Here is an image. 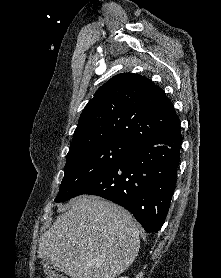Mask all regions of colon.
Listing matches in <instances>:
<instances>
[{
  "mask_svg": "<svg viewBox=\"0 0 221 278\" xmlns=\"http://www.w3.org/2000/svg\"><path fill=\"white\" fill-rule=\"evenodd\" d=\"M45 278H66L62 272L54 268L45 269Z\"/></svg>",
  "mask_w": 221,
  "mask_h": 278,
  "instance_id": "1",
  "label": "colon"
}]
</instances>
